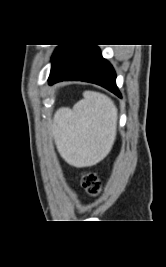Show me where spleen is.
<instances>
[{"label":"spleen","instance_id":"1","mask_svg":"<svg viewBox=\"0 0 166 267\" xmlns=\"http://www.w3.org/2000/svg\"><path fill=\"white\" fill-rule=\"evenodd\" d=\"M73 110L62 108L53 120L59 153L75 167L92 166L111 151L116 138L117 108L106 95L84 91Z\"/></svg>","mask_w":166,"mask_h":267}]
</instances>
